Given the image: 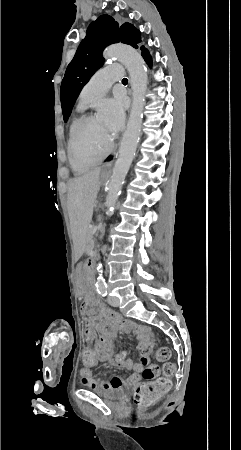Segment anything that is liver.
Wrapping results in <instances>:
<instances>
[{"label":"liver","mask_w":241,"mask_h":450,"mask_svg":"<svg viewBox=\"0 0 241 450\" xmlns=\"http://www.w3.org/2000/svg\"><path fill=\"white\" fill-rule=\"evenodd\" d=\"M101 170L102 168H96L93 172L72 180L68 190V210L72 224H90L100 188Z\"/></svg>","instance_id":"6515ba94"}]
</instances>
